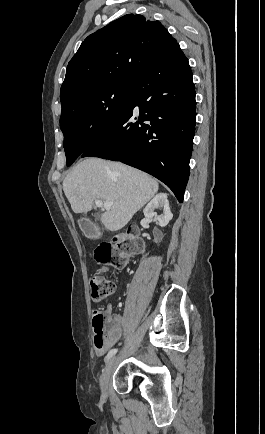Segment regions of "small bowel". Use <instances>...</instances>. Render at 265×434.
Here are the masks:
<instances>
[{
  "mask_svg": "<svg viewBox=\"0 0 265 434\" xmlns=\"http://www.w3.org/2000/svg\"><path fill=\"white\" fill-rule=\"evenodd\" d=\"M105 312L108 315V326L104 339V345L99 347V349L102 348L101 350H96L97 355H102L105 351L111 349L118 343L122 336L124 326L126 324L125 317L120 314L113 313L111 306H107Z\"/></svg>",
  "mask_w": 265,
  "mask_h": 434,
  "instance_id": "1",
  "label": "small bowel"
}]
</instances>
